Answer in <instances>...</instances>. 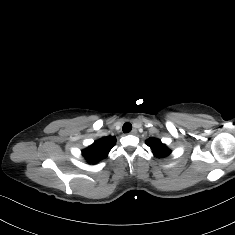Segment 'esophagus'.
<instances>
[{
	"instance_id": "obj_1",
	"label": "esophagus",
	"mask_w": 235,
	"mask_h": 235,
	"mask_svg": "<svg viewBox=\"0 0 235 235\" xmlns=\"http://www.w3.org/2000/svg\"><path fill=\"white\" fill-rule=\"evenodd\" d=\"M137 133V129H132V131L130 132L131 135H135Z\"/></svg>"
}]
</instances>
